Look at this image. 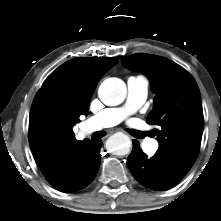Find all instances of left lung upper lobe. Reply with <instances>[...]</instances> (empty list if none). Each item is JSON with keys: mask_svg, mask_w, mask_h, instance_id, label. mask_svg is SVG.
<instances>
[{"mask_svg": "<svg viewBox=\"0 0 221 221\" xmlns=\"http://www.w3.org/2000/svg\"><path fill=\"white\" fill-rule=\"evenodd\" d=\"M123 65L141 71L155 92L148 124H156L159 148L156 155L178 178L195 162L204 127L200 91L194 78L171 60L145 53L122 59Z\"/></svg>", "mask_w": 221, "mask_h": 221, "instance_id": "5c2ea615", "label": "left lung upper lobe"}]
</instances>
